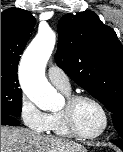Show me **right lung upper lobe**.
<instances>
[{"instance_id": "cb5924a9", "label": "right lung upper lobe", "mask_w": 123, "mask_h": 152, "mask_svg": "<svg viewBox=\"0 0 123 152\" xmlns=\"http://www.w3.org/2000/svg\"><path fill=\"white\" fill-rule=\"evenodd\" d=\"M36 20L21 8L1 13V71L17 73L18 62L31 37Z\"/></svg>"}]
</instances>
